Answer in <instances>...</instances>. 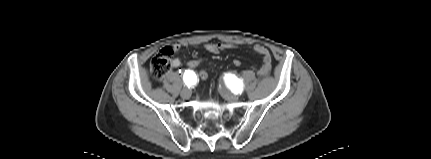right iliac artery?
Here are the masks:
<instances>
[{
	"instance_id": "82829eb1",
	"label": "right iliac artery",
	"mask_w": 431,
	"mask_h": 159,
	"mask_svg": "<svg viewBox=\"0 0 431 159\" xmlns=\"http://www.w3.org/2000/svg\"><path fill=\"white\" fill-rule=\"evenodd\" d=\"M183 80H184L185 85L190 87L192 84H194V82L196 80V75L193 71L186 70L184 72V75H183Z\"/></svg>"
}]
</instances>
